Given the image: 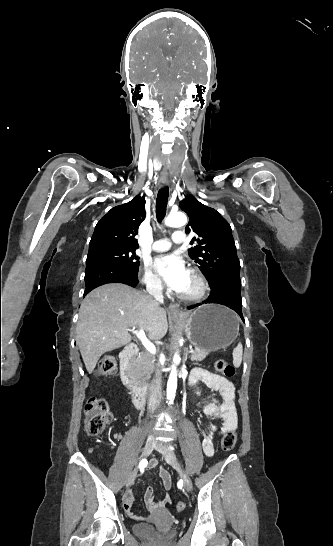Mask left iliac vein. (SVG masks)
<instances>
[{
    "label": "left iliac vein",
    "instance_id": "1",
    "mask_svg": "<svg viewBox=\"0 0 333 546\" xmlns=\"http://www.w3.org/2000/svg\"><path fill=\"white\" fill-rule=\"evenodd\" d=\"M155 448L164 456L168 464L180 472L185 489L191 491L193 488L192 481L186 473L182 472L171 446L158 443L155 445Z\"/></svg>",
    "mask_w": 333,
    "mask_h": 546
}]
</instances>
